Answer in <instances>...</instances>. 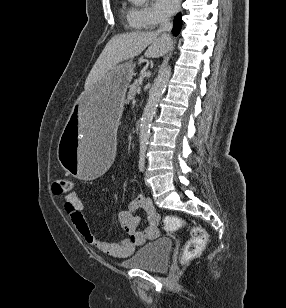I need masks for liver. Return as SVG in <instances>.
I'll use <instances>...</instances> for the list:
<instances>
[{
    "mask_svg": "<svg viewBox=\"0 0 286 308\" xmlns=\"http://www.w3.org/2000/svg\"><path fill=\"white\" fill-rule=\"evenodd\" d=\"M173 45L170 37L158 32H131L115 35L106 44L90 71L84 89L90 90L96 83L106 77L119 63L133 59L144 50L147 58H159L168 53Z\"/></svg>",
    "mask_w": 286,
    "mask_h": 308,
    "instance_id": "obj_1",
    "label": "liver"
}]
</instances>
